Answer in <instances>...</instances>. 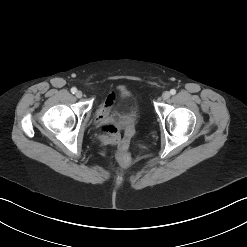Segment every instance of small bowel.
Returning a JSON list of instances; mask_svg holds the SVG:
<instances>
[{"label":"small bowel","mask_w":247,"mask_h":247,"mask_svg":"<svg viewBox=\"0 0 247 247\" xmlns=\"http://www.w3.org/2000/svg\"><path fill=\"white\" fill-rule=\"evenodd\" d=\"M115 95L109 94L95 112L96 123L104 131L103 140L109 145H119L120 151L128 149V141H121L119 133L111 123L114 111Z\"/></svg>","instance_id":"1"}]
</instances>
